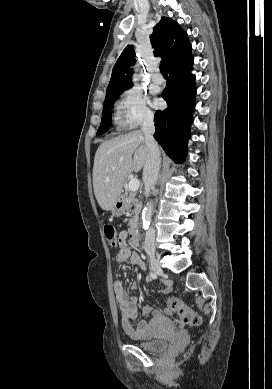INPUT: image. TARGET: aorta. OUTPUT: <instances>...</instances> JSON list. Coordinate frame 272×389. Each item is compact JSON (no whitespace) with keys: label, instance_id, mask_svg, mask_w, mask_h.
Returning a JSON list of instances; mask_svg holds the SVG:
<instances>
[{"label":"aorta","instance_id":"aorta-1","mask_svg":"<svg viewBox=\"0 0 272 389\" xmlns=\"http://www.w3.org/2000/svg\"><path fill=\"white\" fill-rule=\"evenodd\" d=\"M153 212V204L152 202H148L142 211V226L144 230H147L151 223Z\"/></svg>","mask_w":272,"mask_h":389}]
</instances>
